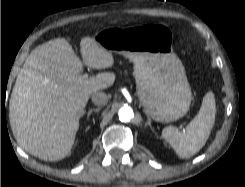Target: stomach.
Returning a JSON list of instances; mask_svg holds the SVG:
<instances>
[{"instance_id":"0dacf381","label":"stomach","mask_w":245,"mask_h":187,"mask_svg":"<svg viewBox=\"0 0 245 187\" xmlns=\"http://www.w3.org/2000/svg\"><path fill=\"white\" fill-rule=\"evenodd\" d=\"M172 32L163 25L108 28L93 39L134 63L137 95L145 113L172 122L189 110L192 93L181 60L173 52Z\"/></svg>"}]
</instances>
